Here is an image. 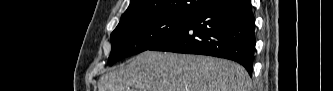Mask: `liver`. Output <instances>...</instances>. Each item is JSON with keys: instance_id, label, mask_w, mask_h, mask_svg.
Masks as SVG:
<instances>
[{"instance_id": "obj_1", "label": "liver", "mask_w": 333, "mask_h": 91, "mask_svg": "<svg viewBox=\"0 0 333 91\" xmlns=\"http://www.w3.org/2000/svg\"><path fill=\"white\" fill-rule=\"evenodd\" d=\"M241 65L208 56L145 51L102 75L98 91H250Z\"/></svg>"}]
</instances>
